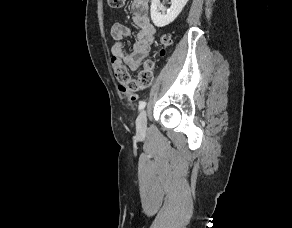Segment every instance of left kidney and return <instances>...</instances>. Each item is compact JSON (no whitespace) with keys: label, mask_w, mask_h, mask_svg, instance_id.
<instances>
[{"label":"left kidney","mask_w":292,"mask_h":228,"mask_svg":"<svg viewBox=\"0 0 292 228\" xmlns=\"http://www.w3.org/2000/svg\"><path fill=\"white\" fill-rule=\"evenodd\" d=\"M188 0H171V7L163 9L160 0L151 1V19L155 26L164 27L170 24L181 13Z\"/></svg>","instance_id":"5707ae66"}]
</instances>
